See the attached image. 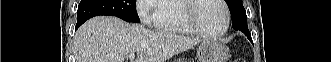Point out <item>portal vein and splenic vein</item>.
<instances>
[{"label": "portal vein and splenic vein", "instance_id": "1", "mask_svg": "<svg viewBox=\"0 0 331 62\" xmlns=\"http://www.w3.org/2000/svg\"><path fill=\"white\" fill-rule=\"evenodd\" d=\"M128 58H129L130 60H134V58H135V54H134V53L129 54V55H128Z\"/></svg>", "mask_w": 331, "mask_h": 62}]
</instances>
